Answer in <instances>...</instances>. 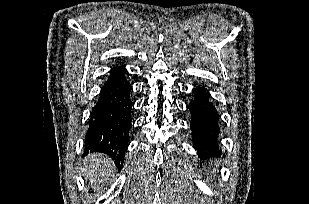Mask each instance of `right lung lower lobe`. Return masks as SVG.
Masks as SVG:
<instances>
[{
  "mask_svg": "<svg viewBox=\"0 0 309 204\" xmlns=\"http://www.w3.org/2000/svg\"><path fill=\"white\" fill-rule=\"evenodd\" d=\"M126 69H111L91 111L85 137L84 155L101 152L111 157L121 169L132 127V86L126 79Z\"/></svg>",
  "mask_w": 309,
  "mask_h": 204,
  "instance_id": "obj_1",
  "label": "right lung lower lobe"
}]
</instances>
